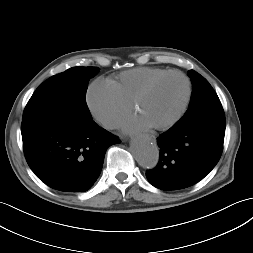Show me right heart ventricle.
<instances>
[{
	"instance_id": "1",
	"label": "right heart ventricle",
	"mask_w": 253,
	"mask_h": 253,
	"mask_svg": "<svg viewBox=\"0 0 253 253\" xmlns=\"http://www.w3.org/2000/svg\"><path fill=\"white\" fill-rule=\"evenodd\" d=\"M168 71L157 67H137L121 72L109 82L114 86L120 97L131 104L135 95L153 78Z\"/></svg>"
}]
</instances>
